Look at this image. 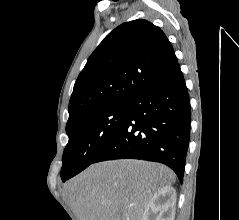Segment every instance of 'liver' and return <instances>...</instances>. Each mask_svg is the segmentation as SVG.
<instances>
[{
    "instance_id": "obj_1",
    "label": "liver",
    "mask_w": 239,
    "mask_h": 220,
    "mask_svg": "<svg viewBox=\"0 0 239 220\" xmlns=\"http://www.w3.org/2000/svg\"><path fill=\"white\" fill-rule=\"evenodd\" d=\"M174 181L164 165L120 159L91 165L65 191L77 220H142L153 194Z\"/></svg>"
}]
</instances>
